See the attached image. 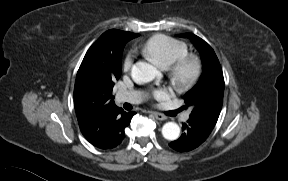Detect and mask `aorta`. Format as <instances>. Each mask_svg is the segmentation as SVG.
Wrapping results in <instances>:
<instances>
[{"mask_svg":"<svg viewBox=\"0 0 288 181\" xmlns=\"http://www.w3.org/2000/svg\"><path fill=\"white\" fill-rule=\"evenodd\" d=\"M158 74L156 67L147 62H137L131 70L132 78L137 83H148ZM162 135L167 140H176L180 135V127L175 122H167L162 127Z\"/></svg>","mask_w":288,"mask_h":181,"instance_id":"762f6f07","label":"aorta"}]
</instances>
